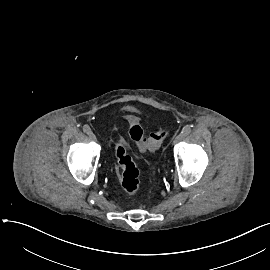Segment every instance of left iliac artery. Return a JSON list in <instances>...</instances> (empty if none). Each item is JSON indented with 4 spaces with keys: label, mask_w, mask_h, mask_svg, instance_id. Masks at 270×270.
Wrapping results in <instances>:
<instances>
[{
    "label": "left iliac artery",
    "mask_w": 270,
    "mask_h": 270,
    "mask_svg": "<svg viewBox=\"0 0 270 270\" xmlns=\"http://www.w3.org/2000/svg\"><path fill=\"white\" fill-rule=\"evenodd\" d=\"M190 132H191V126L190 125H186L183 129H182V134L184 135V136H187V135H189L190 134Z\"/></svg>",
    "instance_id": "left-iliac-artery-1"
}]
</instances>
